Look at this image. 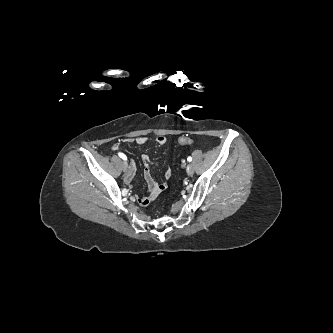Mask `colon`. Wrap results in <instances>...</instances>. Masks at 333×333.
<instances>
[{
	"label": "colon",
	"mask_w": 333,
	"mask_h": 333,
	"mask_svg": "<svg viewBox=\"0 0 333 333\" xmlns=\"http://www.w3.org/2000/svg\"><path fill=\"white\" fill-rule=\"evenodd\" d=\"M193 143V140L188 137H181L179 138V144L180 145H190Z\"/></svg>",
	"instance_id": "colon-1"
}]
</instances>
